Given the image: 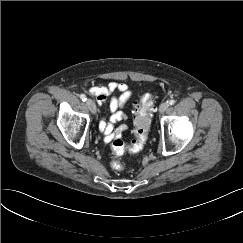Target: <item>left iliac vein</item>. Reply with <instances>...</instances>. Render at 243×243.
<instances>
[{"mask_svg": "<svg viewBox=\"0 0 243 243\" xmlns=\"http://www.w3.org/2000/svg\"><path fill=\"white\" fill-rule=\"evenodd\" d=\"M168 106H169L168 102L161 103L159 107L160 113H164L167 110Z\"/></svg>", "mask_w": 243, "mask_h": 243, "instance_id": "left-iliac-vein-1", "label": "left iliac vein"}]
</instances>
